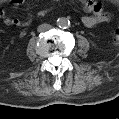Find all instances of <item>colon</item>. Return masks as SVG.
<instances>
[{
    "instance_id": "obj_1",
    "label": "colon",
    "mask_w": 119,
    "mask_h": 119,
    "mask_svg": "<svg viewBox=\"0 0 119 119\" xmlns=\"http://www.w3.org/2000/svg\"><path fill=\"white\" fill-rule=\"evenodd\" d=\"M95 9H97V6L95 7ZM114 39H115V41L119 40V29H116L114 31Z\"/></svg>"
}]
</instances>
